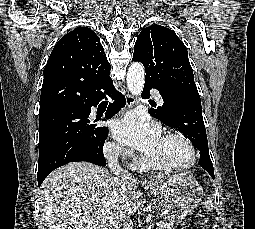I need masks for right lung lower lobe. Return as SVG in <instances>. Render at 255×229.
Masks as SVG:
<instances>
[{"label":"right lung lower lobe","mask_w":255,"mask_h":229,"mask_svg":"<svg viewBox=\"0 0 255 229\" xmlns=\"http://www.w3.org/2000/svg\"><path fill=\"white\" fill-rule=\"evenodd\" d=\"M106 95L109 96L112 100H114L113 104H111V106L108 108V111L106 113V118L109 119L114 114H116L122 107H124L125 106V102H126L125 97L120 92H118L114 88V86H112L108 90L104 91L91 104L86 105V106H81V107H78V108H69V109H76L78 111H81V112L89 115L91 113V107L92 106H97L98 102L101 99L106 98ZM56 111H58V110H56ZM56 111L49 112V113H46L44 115H49V114H52V113H54ZM102 128L104 129V135H105V138H106V136L108 135V128L107 127H102ZM88 162H91V163H94V164L100 165V166H105L106 165V161H105L104 156L102 158H100V159H97V160H89ZM51 171H53V170H51ZM51 171L46 172V173H39L38 172L37 177H38V185L39 186L42 184L43 180L47 177V175Z\"/></svg>","instance_id":"obj_1"}]
</instances>
